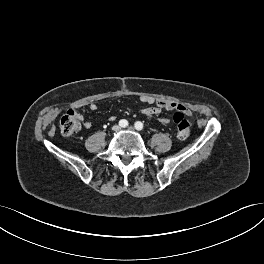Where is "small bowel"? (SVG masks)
Listing matches in <instances>:
<instances>
[{"label": "small bowel", "mask_w": 264, "mask_h": 264, "mask_svg": "<svg viewBox=\"0 0 264 264\" xmlns=\"http://www.w3.org/2000/svg\"><path fill=\"white\" fill-rule=\"evenodd\" d=\"M141 100H142V102L149 105V106L142 109V113L146 116H157L161 113L162 109L174 110V109H177L180 107L183 110L185 109L181 105H179L173 101H167V100L156 101L155 99H153L151 97H143ZM88 106H89V109L92 111H95L97 109V105L95 103H90ZM185 112H186V114L190 115L189 110H185ZM78 116H79V119L81 121H83V127L85 129H90L91 125H92L91 122L84 121V117L82 115H78ZM112 119H113V117H112ZM160 121L164 124H167L169 122V120L165 119V118H161Z\"/></svg>", "instance_id": "c3829d8e"}]
</instances>
